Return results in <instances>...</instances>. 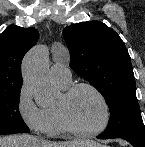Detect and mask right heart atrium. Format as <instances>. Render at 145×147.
I'll use <instances>...</instances> for the list:
<instances>
[{
    "mask_svg": "<svg viewBox=\"0 0 145 147\" xmlns=\"http://www.w3.org/2000/svg\"><path fill=\"white\" fill-rule=\"evenodd\" d=\"M17 112L23 123L37 133H47L49 121L46 111L33 99L31 90L26 83H23L18 91Z\"/></svg>",
    "mask_w": 145,
    "mask_h": 147,
    "instance_id": "d8ad5b80",
    "label": "right heart atrium"
}]
</instances>
